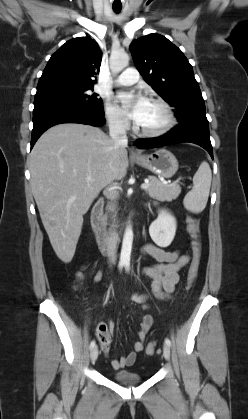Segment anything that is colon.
I'll return each mask as SVG.
<instances>
[{
  "label": "colon",
  "mask_w": 248,
  "mask_h": 419,
  "mask_svg": "<svg viewBox=\"0 0 248 419\" xmlns=\"http://www.w3.org/2000/svg\"><path fill=\"white\" fill-rule=\"evenodd\" d=\"M187 228L192 237V249H193L192 261L189 266L187 281H186V289L190 290L195 284L197 275H198L201 253H202V240H201L199 222L196 218L192 216L187 217ZM84 277H85V274L83 271L78 272L77 274L78 285L81 284ZM110 335H111L110 330L105 325H100L96 331V337L100 343L106 342L109 339ZM156 351H157V344L155 342H150L146 348L147 354L153 355L156 353Z\"/></svg>",
  "instance_id": "1"
}]
</instances>
